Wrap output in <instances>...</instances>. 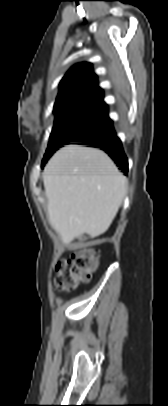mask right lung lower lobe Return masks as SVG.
I'll list each match as a JSON object with an SVG mask.
<instances>
[{
    "label": "right lung lower lobe",
    "mask_w": 168,
    "mask_h": 406,
    "mask_svg": "<svg viewBox=\"0 0 168 406\" xmlns=\"http://www.w3.org/2000/svg\"><path fill=\"white\" fill-rule=\"evenodd\" d=\"M76 142L77 144L102 149L115 161V163L118 164L125 174L128 172L127 158L124 154L121 141L116 136L112 124Z\"/></svg>",
    "instance_id": "right-lung-lower-lobe-1"
}]
</instances>
